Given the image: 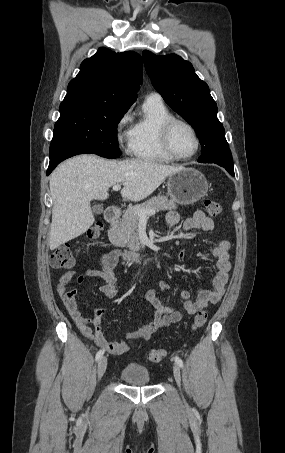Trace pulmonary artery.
<instances>
[{"mask_svg": "<svg viewBox=\"0 0 285 453\" xmlns=\"http://www.w3.org/2000/svg\"><path fill=\"white\" fill-rule=\"evenodd\" d=\"M147 99L156 100V101H162V97L156 92L150 93L148 95Z\"/></svg>", "mask_w": 285, "mask_h": 453, "instance_id": "e3ab8cb5", "label": "pulmonary artery"}]
</instances>
